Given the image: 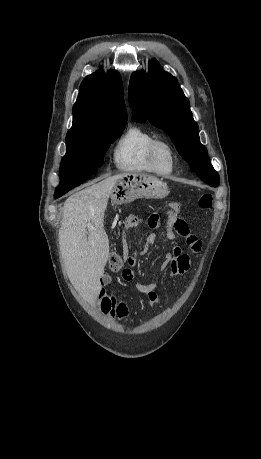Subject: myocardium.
<instances>
[{"instance_id":"f54148a6","label":"myocardium","mask_w":261,"mask_h":459,"mask_svg":"<svg viewBox=\"0 0 261 459\" xmlns=\"http://www.w3.org/2000/svg\"><path fill=\"white\" fill-rule=\"evenodd\" d=\"M160 148H165L171 156L172 166L168 172L161 171L157 166L156 159H157V153ZM149 162L154 170V173L160 176H168L172 174L175 171L176 165H177V153L175 151V148L169 141L165 139H156L149 148Z\"/></svg>"}]
</instances>
